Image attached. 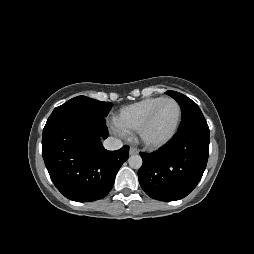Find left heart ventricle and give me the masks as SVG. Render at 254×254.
Instances as JSON below:
<instances>
[{
	"label": "left heart ventricle",
	"mask_w": 254,
	"mask_h": 254,
	"mask_svg": "<svg viewBox=\"0 0 254 254\" xmlns=\"http://www.w3.org/2000/svg\"><path fill=\"white\" fill-rule=\"evenodd\" d=\"M178 117V108L173 102L164 103L146 131V138L158 141L166 137L173 129Z\"/></svg>",
	"instance_id": "b2bd125f"
}]
</instances>
